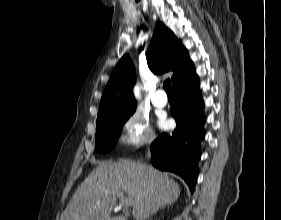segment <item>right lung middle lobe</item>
Listing matches in <instances>:
<instances>
[{
  "label": "right lung middle lobe",
  "mask_w": 281,
  "mask_h": 220,
  "mask_svg": "<svg viewBox=\"0 0 281 220\" xmlns=\"http://www.w3.org/2000/svg\"><path fill=\"white\" fill-rule=\"evenodd\" d=\"M133 113L110 117L97 123L95 137L97 152L106 153L114 148L123 124Z\"/></svg>",
  "instance_id": "obj_1"
}]
</instances>
